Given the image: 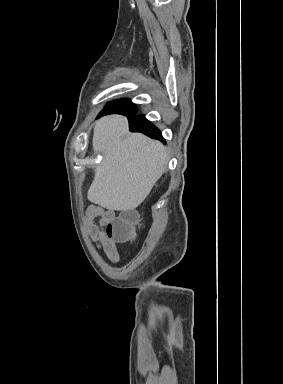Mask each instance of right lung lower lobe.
Returning a JSON list of instances; mask_svg holds the SVG:
<instances>
[{
    "mask_svg": "<svg viewBox=\"0 0 283 384\" xmlns=\"http://www.w3.org/2000/svg\"><path fill=\"white\" fill-rule=\"evenodd\" d=\"M135 113L136 109L134 108L116 107L110 109H103L98 115V118L108 114H122L128 116L130 131L141 132L151 138L158 139L165 143V140L162 137L159 129L156 128L151 122H149L144 117V115L135 116Z\"/></svg>",
    "mask_w": 283,
    "mask_h": 384,
    "instance_id": "right-lung-lower-lobe-1",
    "label": "right lung lower lobe"
}]
</instances>
